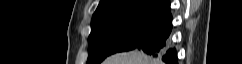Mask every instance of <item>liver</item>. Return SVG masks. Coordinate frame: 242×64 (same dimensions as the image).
Here are the masks:
<instances>
[{
	"label": "liver",
	"instance_id": "6515ba94",
	"mask_svg": "<svg viewBox=\"0 0 242 64\" xmlns=\"http://www.w3.org/2000/svg\"><path fill=\"white\" fill-rule=\"evenodd\" d=\"M103 64H157L156 60L150 59L138 50L117 53L107 58Z\"/></svg>",
	"mask_w": 242,
	"mask_h": 64
}]
</instances>
